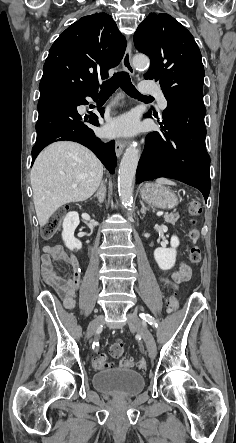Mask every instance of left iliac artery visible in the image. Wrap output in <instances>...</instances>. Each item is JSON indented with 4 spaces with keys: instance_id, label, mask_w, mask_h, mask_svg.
<instances>
[{
    "instance_id": "1",
    "label": "left iliac artery",
    "mask_w": 236,
    "mask_h": 443,
    "mask_svg": "<svg viewBox=\"0 0 236 443\" xmlns=\"http://www.w3.org/2000/svg\"><path fill=\"white\" fill-rule=\"evenodd\" d=\"M139 316L141 317V319L144 322L149 323L153 328H157L158 327V324H157L155 318L152 317L150 314L141 313Z\"/></svg>"
}]
</instances>
